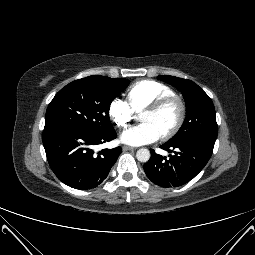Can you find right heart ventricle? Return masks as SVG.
Returning <instances> with one entry per match:
<instances>
[{
	"label": "right heart ventricle",
	"instance_id": "1",
	"mask_svg": "<svg viewBox=\"0 0 255 255\" xmlns=\"http://www.w3.org/2000/svg\"><path fill=\"white\" fill-rule=\"evenodd\" d=\"M171 94H174L173 90L161 82L142 80L133 84L126 96L132 110L139 112L154 101Z\"/></svg>",
	"mask_w": 255,
	"mask_h": 255
}]
</instances>
